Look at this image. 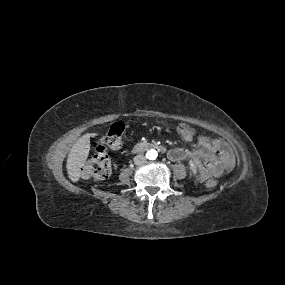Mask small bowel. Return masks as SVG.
I'll return each instance as SVG.
<instances>
[{
	"mask_svg": "<svg viewBox=\"0 0 285 285\" xmlns=\"http://www.w3.org/2000/svg\"><path fill=\"white\" fill-rule=\"evenodd\" d=\"M198 145V150L173 149L169 153V158L173 161H191L200 179L221 176L232 170L234 157L231 148L224 140L202 136L198 139Z\"/></svg>",
	"mask_w": 285,
	"mask_h": 285,
	"instance_id": "c3829d8e",
	"label": "small bowel"
}]
</instances>
